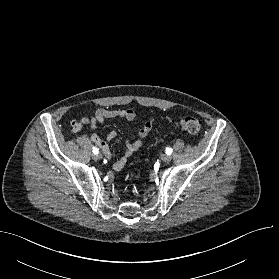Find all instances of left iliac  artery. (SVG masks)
Listing matches in <instances>:
<instances>
[{
  "label": "left iliac artery",
  "instance_id": "1",
  "mask_svg": "<svg viewBox=\"0 0 279 279\" xmlns=\"http://www.w3.org/2000/svg\"><path fill=\"white\" fill-rule=\"evenodd\" d=\"M172 153V149L171 148H166V154L170 155Z\"/></svg>",
  "mask_w": 279,
  "mask_h": 279
}]
</instances>
